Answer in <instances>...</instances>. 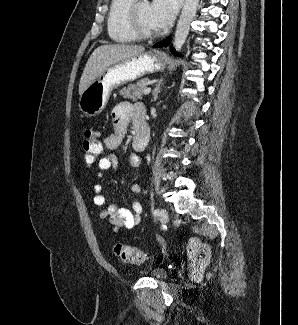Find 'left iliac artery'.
Masks as SVG:
<instances>
[{"instance_id": "left-iliac-artery-1", "label": "left iliac artery", "mask_w": 298, "mask_h": 325, "mask_svg": "<svg viewBox=\"0 0 298 325\" xmlns=\"http://www.w3.org/2000/svg\"><path fill=\"white\" fill-rule=\"evenodd\" d=\"M153 214H154L155 216H159V215H160V211H159V209H155V210L153 211Z\"/></svg>"}]
</instances>
